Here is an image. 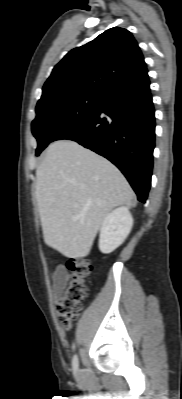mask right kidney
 <instances>
[{"mask_svg": "<svg viewBox=\"0 0 182 399\" xmlns=\"http://www.w3.org/2000/svg\"><path fill=\"white\" fill-rule=\"evenodd\" d=\"M133 226V218L127 207H119L109 213L103 220L99 249L108 254L118 248L127 238Z\"/></svg>", "mask_w": 182, "mask_h": 399, "instance_id": "1", "label": "right kidney"}]
</instances>
